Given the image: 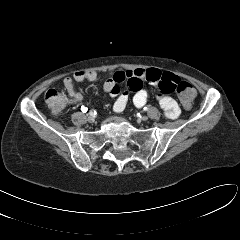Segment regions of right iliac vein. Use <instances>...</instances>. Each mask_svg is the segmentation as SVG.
I'll use <instances>...</instances> for the list:
<instances>
[{
	"mask_svg": "<svg viewBox=\"0 0 240 240\" xmlns=\"http://www.w3.org/2000/svg\"><path fill=\"white\" fill-rule=\"evenodd\" d=\"M88 121H89L90 123H93V122L95 121L94 116L91 115V114H89V115H88Z\"/></svg>",
	"mask_w": 240,
	"mask_h": 240,
	"instance_id": "obj_1",
	"label": "right iliac vein"
}]
</instances>
